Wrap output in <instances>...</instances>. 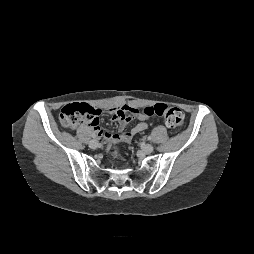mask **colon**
<instances>
[{
	"instance_id": "1",
	"label": "colon",
	"mask_w": 254,
	"mask_h": 254,
	"mask_svg": "<svg viewBox=\"0 0 254 254\" xmlns=\"http://www.w3.org/2000/svg\"><path fill=\"white\" fill-rule=\"evenodd\" d=\"M146 116H157L163 119L166 126L172 130H179L183 125L184 114L175 107L164 103H158L144 108ZM99 116L97 109L88 104H69L63 107L59 113L60 124L65 128H74L80 123H92ZM121 143H127L122 139Z\"/></svg>"
}]
</instances>
